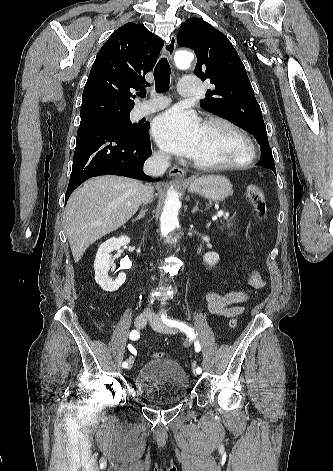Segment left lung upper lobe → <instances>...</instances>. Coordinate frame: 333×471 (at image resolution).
I'll return each mask as SVG.
<instances>
[{
    "label": "left lung upper lobe",
    "instance_id": "obj_1",
    "mask_svg": "<svg viewBox=\"0 0 333 471\" xmlns=\"http://www.w3.org/2000/svg\"><path fill=\"white\" fill-rule=\"evenodd\" d=\"M177 42L196 53L194 73L215 85L201 100L203 109L251 132L261 148L260 160L274 162L261 108L246 69L229 39L203 19L191 18L180 26Z\"/></svg>",
    "mask_w": 333,
    "mask_h": 471
}]
</instances>
